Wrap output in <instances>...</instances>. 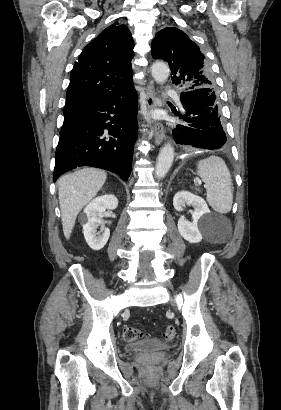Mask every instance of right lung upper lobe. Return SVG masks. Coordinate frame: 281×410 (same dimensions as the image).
<instances>
[{"mask_svg":"<svg viewBox=\"0 0 281 410\" xmlns=\"http://www.w3.org/2000/svg\"><path fill=\"white\" fill-rule=\"evenodd\" d=\"M134 42L125 25H111L82 51L70 74L64 110L82 109L133 85Z\"/></svg>","mask_w":281,"mask_h":410,"instance_id":"cb5924a9","label":"right lung upper lobe"}]
</instances>
